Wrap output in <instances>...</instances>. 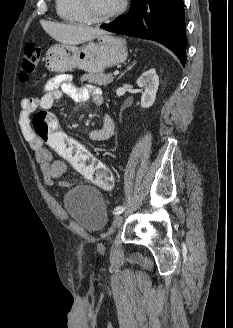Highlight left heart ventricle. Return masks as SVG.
<instances>
[{
  "mask_svg": "<svg viewBox=\"0 0 233 328\" xmlns=\"http://www.w3.org/2000/svg\"><path fill=\"white\" fill-rule=\"evenodd\" d=\"M90 12L95 16L105 15L114 10L121 0H88Z\"/></svg>",
  "mask_w": 233,
  "mask_h": 328,
  "instance_id": "left-heart-ventricle-1",
  "label": "left heart ventricle"
}]
</instances>
